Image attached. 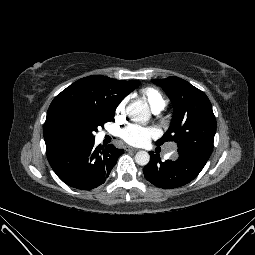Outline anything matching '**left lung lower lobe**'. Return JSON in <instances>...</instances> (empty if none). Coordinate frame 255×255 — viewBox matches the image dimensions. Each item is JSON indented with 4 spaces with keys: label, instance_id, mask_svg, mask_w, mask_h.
<instances>
[{
    "label": "left lung lower lobe",
    "instance_id": "0a47b994",
    "mask_svg": "<svg viewBox=\"0 0 255 255\" xmlns=\"http://www.w3.org/2000/svg\"><path fill=\"white\" fill-rule=\"evenodd\" d=\"M150 162L144 167L146 179L153 185L171 189L186 185L192 181L203 169L207 160L181 155L175 161L162 162L158 155L149 152Z\"/></svg>",
    "mask_w": 255,
    "mask_h": 255
}]
</instances>
